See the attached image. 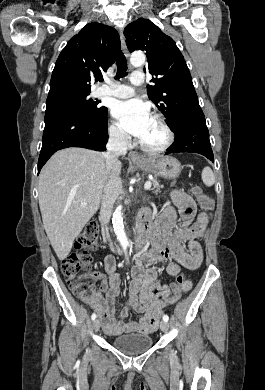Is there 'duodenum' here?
<instances>
[{"label":"duodenum","mask_w":265,"mask_h":390,"mask_svg":"<svg viewBox=\"0 0 265 390\" xmlns=\"http://www.w3.org/2000/svg\"><path fill=\"white\" fill-rule=\"evenodd\" d=\"M151 238L150 221L142 214L138 217V242L144 246ZM105 239L108 240L107 236Z\"/></svg>","instance_id":"duodenum-1"}]
</instances>
